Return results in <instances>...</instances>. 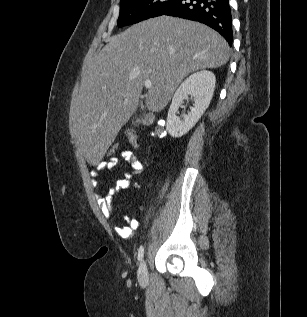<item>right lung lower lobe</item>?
<instances>
[{
    "instance_id": "right-lung-lower-lobe-1",
    "label": "right lung lower lobe",
    "mask_w": 307,
    "mask_h": 317,
    "mask_svg": "<svg viewBox=\"0 0 307 317\" xmlns=\"http://www.w3.org/2000/svg\"><path fill=\"white\" fill-rule=\"evenodd\" d=\"M162 15L204 23L232 45V17L228 0H176Z\"/></svg>"
}]
</instances>
